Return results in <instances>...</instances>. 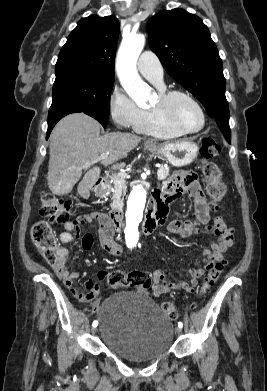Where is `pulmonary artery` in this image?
<instances>
[{
    "instance_id": "obj_1",
    "label": "pulmonary artery",
    "mask_w": 267,
    "mask_h": 391,
    "mask_svg": "<svg viewBox=\"0 0 267 391\" xmlns=\"http://www.w3.org/2000/svg\"><path fill=\"white\" fill-rule=\"evenodd\" d=\"M139 72L150 82L160 89L164 88L163 84V67L152 51H144L137 62Z\"/></svg>"
}]
</instances>
